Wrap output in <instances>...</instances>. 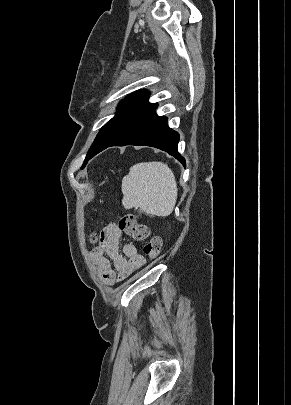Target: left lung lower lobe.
I'll return each instance as SVG.
<instances>
[{
    "label": "left lung lower lobe",
    "instance_id": "1",
    "mask_svg": "<svg viewBox=\"0 0 291 405\" xmlns=\"http://www.w3.org/2000/svg\"><path fill=\"white\" fill-rule=\"evenodd\" d=\"M148 97L146 94L142 99L126 130L107 147L151 146L166 151L186 166L185 159L178 152L179 134L168 127L166 117L155 113L157 104L149 103Z\"/></svg>",
    "mask_w": 291,
    "mask_h": 405
}]
</instances>
